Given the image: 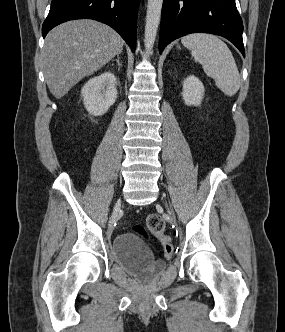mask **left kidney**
I'll return each mask as SVG.
<instances>
[{
    "label": "left kidney",
    "mask_w": 285,
    "mask_h": 332,
    "mask_svg": "<svg viewBox=\"0 0 285 332\" xmlns=\"http://www.w3.org/2000/svg\"><path fill=\"white\" fill-rule=\"evenodd\" d=\"M204 85L194 75L188 76L183 82L182 97L186 105L199 106L204 97Z\"/></svg>",
    "instance_id": "1"
}]
</instances>
